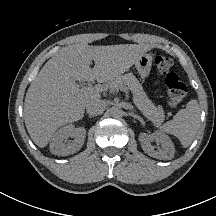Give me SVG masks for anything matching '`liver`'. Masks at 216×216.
Returning <instances> with one entry per match:
<instances>
[{"label": "liver", "instance_id": "obj_1", "mask_svg": "<svg viewBox=\"0 0 216 216\" xmlns=\"http://www.w3.org/2000/svg\"><path fill=\"white\" fill-rule=\"evenodd\" d=\"M151 48L143 44H74L55 53L28 88L24 120L33 142L47 146L62 125L83 118L87 103L99 99L102 86L82 93L74 80L109 82L132 67ZM92 60L95 62L90 67Z\"/></svg>", "mask_w": 216, "mask_h": 216}]
</instances>
